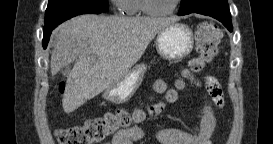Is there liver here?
Masks as SVG:
<instances>
[{"mask_svg": "<svg viewBox=\"0 0 273 144\" xmlns=\"http://www.w3.org/2000/svg\"><path fill=\"white\" fill-rule=\"evenodd\" d=\"M175 18L81 15L54 32L51 74L75 61L62 99L71 113L121 81L141 58L151 40Z\"/></svg>", "mask_w": 273, "mask_h": 144, "instance_id": "1", "label": "liver"}]
</instances>
